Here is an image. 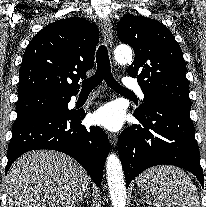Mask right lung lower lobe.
I'll use <instances>...</instances> for the list:
<instances>
[{
  "label": "right lung lower lobe",
  "mask_w": 206,
  "mask_h": 207,
  "mask_svg": "<svg viewBox=\"0 0 206 207\" xmlns=\"http://www.w3.org/2000/svg\"><path fill=\"white\" fill-rule=\"evenodd\" d=\"M84 117V111L69 110L66 113L43 114L15 121L8 147L6 173L23 153L52 149L74 158L88 172L93 182L100 186L109 152V140L101 128L83 126L81 121Z\"/></svg>",
  "instance_id": "1"
}]
</instances>
